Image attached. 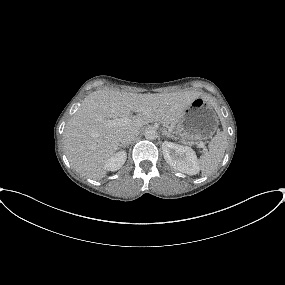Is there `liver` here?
<instances>
[{
	"mask_svg": "<svg viewBox=\"0 0 285 285\" xmlns=\"http://www.w3.org/2000/svg\"><path fill=\"white\" fill-rule=\"evenodd\" d=\"M197 91L137 94L116 90L90 93L67 122L63 145L72 167L79 174L94 180L106 176L105 167L119 148V136L124 131L139 130L150 122L169 125L176 122L197 98ZM205 99V97H203ZM131 112H142L130 117ZM128 118L127 123L108 125L107 121Z\"/></svg>",
	"mask_w": 285,
	"mask_h": 285,
	"instance_id": "liver-1",
	"label": "liver"
}]
</instances>
